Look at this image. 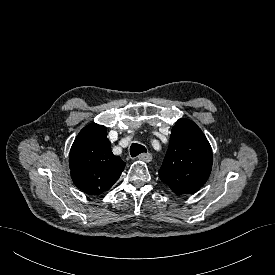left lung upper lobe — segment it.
<instances>
[{
	"mask_svg": "<svg viewBox=\"0 0 275 275\" xmlns=\"http://www.w3.org/2000/svg\"><path fill=\"white\" fill-rule=\"evenodd\" d=\"M212 168V149L191 120L179 119L171 130L170 143L160 179L176 194L193 193L207 181Z\"/></svg>",
	"mask_w": 275,
	"mask_h": 275,
	"instance_id": "5c2ea615",
	"label": "left lung upper lobe"
}]
</instances>
